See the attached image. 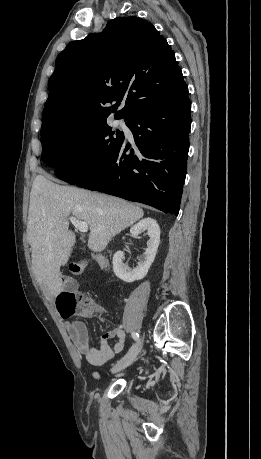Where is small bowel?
I'll list each match as a JSON object with an SVG mask.
<instances>
[{
    "label": "small bowel",
    "mask_w": 261,
    "mask_h": 459,
    "mask_svg": "<svg viewBox=\"0 0 261 459\" xmlns=\"http://www.w3.org/2000/svg\"><path fill=\"white\" fill-rule=\"evenodd\" d=\"M92 259L104 270L109 269V264L103 256L96 254L92 256ZM77 288L78 283L76 280L71 278L65 279L64 290L61 291L55 299V304L58 311L62 298L69 293H75ZM64 326L77 352L83 356L92 366L105 365L116 354L121 353L124 348L125 332L119 327H116L103 334L99 338L98 344L94 346L91 344L88 329L82 321L78 319H70L67 317L65 318ZM111 339L117 340L113 347H111L109 344ZM94 376L98 377V374L94 373Z\"/></svg>",
    "instance_id": "c3829d8e"
}]
</instances>
